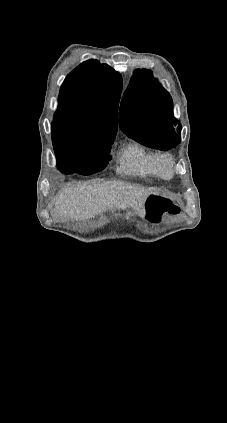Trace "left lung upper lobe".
I'll return each instance as SVG.
<instances>
[{"label": "left lung upper lobe", "instance_id": "1", "mask_svg": "<svg viewBox=\"0 0 227 423\" xmlns=\"http://www.w3.org/2000/svg\"><path fill=\"white\" fill-rule=\"evenodd\" d=\"M173 116L169 93L148 69H137L120 106V129L147 147L168 150L180 144L181 125Z\"/></svg>", "mask_w": 227, "mask_h": 423}]
</instances>
